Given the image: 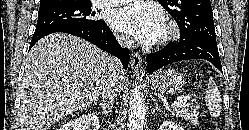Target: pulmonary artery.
I'll list each match as a JSON object with an SVG mask.
<instances>
[{
  "label": "pulmonary artery",
  "mask_w": 249,
  "mask_h": 130,
  "mask_svg": "<svg viewBox=\"0 0 249 130\" xmlns=\"http://www.w3.org/2000/svg\"><path fill=\"white\" fill-rule=\"evenodd\" d=\"M131 0H97L98 5H106V6H117L122 5Z\"/></svg>",
  "instance_id": "obj_1"
}]
</instances>
